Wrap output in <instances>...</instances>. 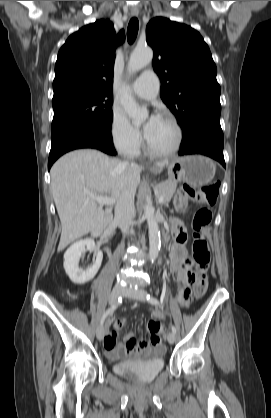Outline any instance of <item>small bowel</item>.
<instances>
[{"label":"small bowel","mask_w":271,"mask_h":418,"mask_svg":"<svg viewBox=\"0 0 271 418\" xmlns=\"http://www.w3.org/2000/svg\"><path fill=\"white\" fill-rule=\"evenodd\" d=\"M171 229L175 243L170 256V268L181 284L178 291V300L182 306H187L192 298L191 286L195 282V274L185 264L187 234L184 225L176 218L171 220ZM161 318L162 315L156 313L153 321L159 323ZM125 324L126 320L124 318L115 319L112 324V331L106 333L104 337V348L110 358L116 359L123 355L141 356L164 352L165 347L161 341L154 343L141 339L139 342H136L135 334L132 332L127 333L122 342H118L117 334ZM161 333L162 329L155 335L159 337Z\"/></svg>","instance_id":"small-bowel-1"}]
</instances>
